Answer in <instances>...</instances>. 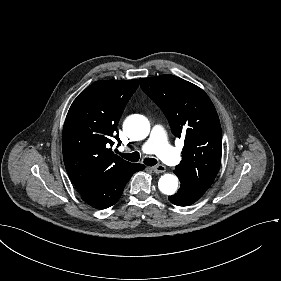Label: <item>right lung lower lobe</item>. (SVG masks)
I'll use <instances>...</instances> for the list:
<instances>
[{
	"mask_svg": "<svg viewBox=\"0 0 281 281\" xmlns=\"http://www.w3.org/2000/svg\"><path fill=\"white\" fill-rule=\"evenodd\" d=\"M144 169V165L135 164L130 170L113 178L99 188L81 194V198L90 206L96 209H106L114 205L122 195L123 189L131 176Z\"/></svg>",
	"mask_w": 281,
	"mask_h": 281,
	"instance_id": "98d812e1",
	"label": "right lung lower lobe"
}]
</instances>
